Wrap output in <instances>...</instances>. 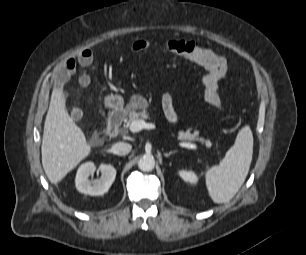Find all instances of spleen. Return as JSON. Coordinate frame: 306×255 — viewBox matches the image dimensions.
I'll use <instances>...</instances> for the list:
<instances>
[{
	"label": "spleen",
	"instance_id": "spleen-1",
	"mask_svg": "<svg viewBox=\"0 0 306 255\" xmlns=\"http://www.w3.org/2000/svg\"><path fill=\"white\" fill-rule=\"evenodd\" d=\"M252 154L253 134L250 126L245 125L220 164L205 173L206 187L214 203H227L236 195L249 172Z\"/></svg>",
	"mask_w": 306,
	"mask_h": 255
}]
</instances>
